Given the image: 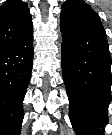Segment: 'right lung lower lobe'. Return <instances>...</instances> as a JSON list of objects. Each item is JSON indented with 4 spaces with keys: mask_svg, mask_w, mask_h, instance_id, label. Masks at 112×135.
Listing matches in <instances>:
<instances>
[{
    "mask_svg": "<svg viewBox=\"0 0 112 135\" xmlns=\"http://www.w3.org/2000/svg\"><path fill=\"white\" fill-rule=\"evenodd\" d=\"M33 29L0 50V135H19L33 65Z\"/></svg>",
    "mask_w": 112,
    "mask_h": 135,
    "instance_id": "obj_1",
    "label": "right lung lower lobe"
}]
</instances>
